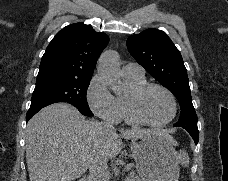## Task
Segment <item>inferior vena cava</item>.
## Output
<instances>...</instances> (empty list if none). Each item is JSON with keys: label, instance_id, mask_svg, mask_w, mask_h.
Here are the masks:
<instances>
[{"label": "inferior vena cava", "instance_id": "obj_1", "mask_svg": "<svg viewBox=\"0 0 228 181\" xmlns=\"http://www.w3.org/2000/svg\"><path fill=\"white\" fill-rule=\"evenodd\" d=\"M102 125H104L105 131H112L114 129L110 123H102ZM93 129H96V127H93ZM89 181H109L107 159H101L95 153L91 155L89 161Z\"/></svg>", "mask_w": 228, "mask_h": 181}]
</instances>
